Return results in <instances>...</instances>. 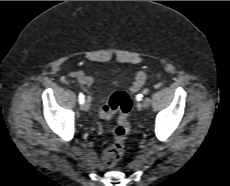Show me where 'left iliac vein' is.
Returning a JSON list of instances; mask_svg holds the SVG:
<instances>
[{
  "instance_id": "obj_1",
  "label": "left iliac vein",
  "mask_w": 230,
  "mask_h": 186,
  "mask_svg": "<svg viewBox=\"0 0 230 186\" xmlns=\"http://www.w3.org/2000/svg\"><path fill=\"white\" fill-rule=\"evenodd\" d=\"M150 105V99L149 98H145L142 103L139 104L140 108H148Z\"/></svg>"
}]
</instances>
